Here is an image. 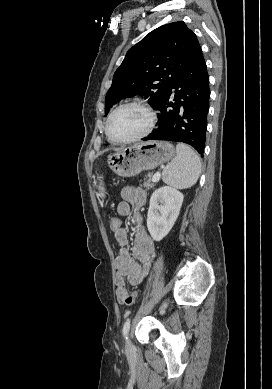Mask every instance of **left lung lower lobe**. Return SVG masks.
<instances>
[{
  "instance_id": "0a47b994",
  "label": "left lung lower lobe",
  "mask_w": 272,
  "mask_h": 389,
  "mask_svg": "<svg viewBox=\"0 0 272 389\" xmlns=\"http://www.w3.org/2000/svg\"><path fill=\"white\" fill-rule=\"evenodd\" d=\"M172 89L176 90L174 102H169ZM209 97V76L200 48L171 82L157 107L161 112L158 114V128L143 140L184 142L203 154Z\"/></svg>"
}]
</instances>
